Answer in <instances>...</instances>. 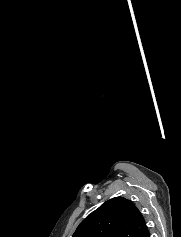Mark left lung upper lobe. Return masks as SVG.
Returning <instances> with one entry per match:
<instances>
[{
	"instance_id": "obj_1",
	"label": "left lung upper lobe",
	"mask_w": 181,
	"mask_h": 237,
	"mask_svg": "<svg viewBox=\"0 0 181 237\" xmlns=\"http://www.w3.org/2000/svg\"><path fill=\"white\" fill-rule=\"evenodd\" d=\"M146 229L144 217L134 203L115 197L88 215L72 237H141Z\"/></svg>"
}]
</instances>
